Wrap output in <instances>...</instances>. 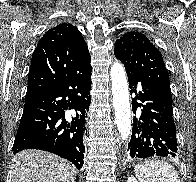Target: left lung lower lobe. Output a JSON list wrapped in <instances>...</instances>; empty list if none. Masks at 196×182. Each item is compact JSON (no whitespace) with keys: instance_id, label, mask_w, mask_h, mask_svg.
Masks as SVG:
<instances>
[{"instance_id":"0a47b994","label":"left lung lower lobe","mask_w":196,"mask_h":182,"mask_svg":"<svg viewBox=\"0 0 196 182\" xmlns=\"http://www.w3.org/2000/svg\"><path fill=\"white\" fill-rule=\"evenodd\" d=\"M132 100L133 128L128 153L132 158L175 157L176 126L172 99L166 97L140 74L126 68Z\"/></svg>"}]
</instances>
